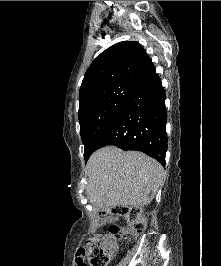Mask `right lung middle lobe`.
<instances>
[{
	"label": "right lung middle lobe",
	"mask_w": 221,
	"mask_h": 266,
	"mask_svg": "<svg viewBox=\"0 0 221 266\" xmlns=\"http://www.w3.org/2000/svg\"><path fill=\"white\" fill-rule=\"evenodd\" d=\"M137 88L133 85H118L98 89L79 101L80 135L86 161Z\"/></svg>",
	"instance_id": "obj_1"
}]
</instances>
